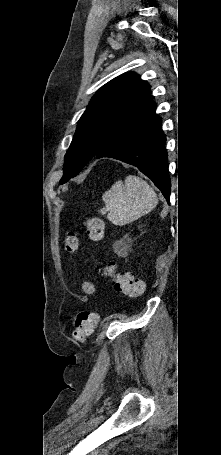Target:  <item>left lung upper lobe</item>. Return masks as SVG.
Returning <instances> with one entry per match:
<instances>
[{
	"instance_id": "5c2ea615",
	"label": "left lung upper lobe",
	"mask_w": 221,
	"mask_h": 455,
	"mask_svg": "<svg viewBox=\"0 0 221 455\" xmlns=\"http://www.w3.org/2000/svg\"><path fill=\"white\" fill-rule=\"evenodd\" d=\"M149 90L147 82L129 72L97 91L78 121L65 155L61 184L76 176L117 134L156 107Z\"/></svg>"
}]
</instances>
